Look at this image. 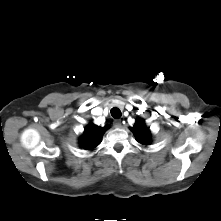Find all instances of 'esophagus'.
<instances>
[{
  "instance_id": "1",
  "label": "esophagus",
  "mask_w": 221,
  "mask_h": 221,
  "mask_svg": "<svg viewBox=\"0 0 221 221\" xmlns=\"http://www.w3.org/2000/svg\"><path fill=\"white\" fill-rule=\"evenodd\" d=\"M113 124H114L115 128H120L121 127V120L120 119H116Z\"/></svg>"
}]
</instances>
